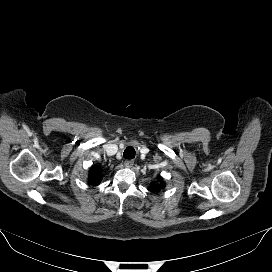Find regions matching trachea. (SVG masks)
I'll return each instance as SVG.
<instances>
[{"instance_id": "3493384b", "label": "trachea", "mask_w": 272, "mask_h": 272, "mask_svg": "<svg viewBox=\"0 0 272 272\" xmlns=\"http://www.w3.org/2000/svg\"><path fill=\"white\" fill-rule=\"evenodd\" d=\"M123 156L129 160L133 159L135 157V149L131 146L127 147L124 151Z\"/></svg>"}]
</instances>
